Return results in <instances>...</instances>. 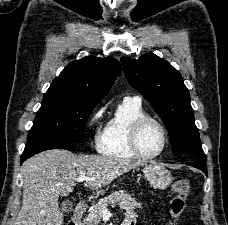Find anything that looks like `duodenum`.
<instances>
[{
  "instance_id": "1",
  "label": "duodenum",
  "mask_w": 228,
  "mask_h": 225,
  "mask_svg": "<svg viewBox=\"0 0 228 225\" xmlns=\"http://www.w3.org/2000/svg\"><path fill=\"white\" fill-rule=\"evenodd\" d=\"M87 209V203L84 200H80L76 203L72 217L68 221L67 225H82V217ZM123 225H135V220L131 217H127Z\"/></svg>"
}]
</instances>
